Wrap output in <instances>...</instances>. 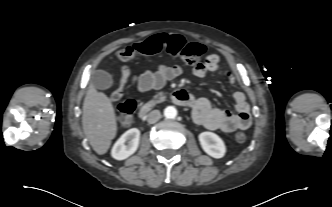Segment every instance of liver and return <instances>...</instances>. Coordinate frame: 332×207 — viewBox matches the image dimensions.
Listing matches in <instances>:
<instances>
[{"label": "liver", "mask_w": 332, "mask_h": 207, "mask_svg": "<svg viewBox=\"0 0 332 207\" xmlns=\"http://www.w3.org/2000/svg\"><path fill=\"white\" fill-rule=\"evenodd\" d=\"M82 126L93 150L105 154L117 133L116 114L111 100L93 85L83 102Z\"/></svg>", "instance_id": "6515ba94"}]
</instances>
